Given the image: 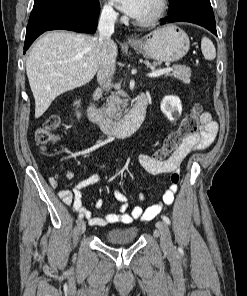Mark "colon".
Listing matches in <instances>:
<instances>
[{
    "mask_svg": "<svg viewBox=\"0 0 247 296\" xmlns=\"http://www.w3.org/2000/svg\"><path fill=\"white\" fill-rule=\"evenodd\" d=\"M201 113L202 107L200 104H196L192 107L190 112L182 119L178 128L170 132L165 137L161 147L156 150L154 153V159L156 161H164L171 153L178 150L187 137L196 133ZM59 126V120L53 117L48 119L44 126L36 132V141L42 149L58 141L59 136L56 131ZM172 181L178 184L179 175H173Z\"/></svg>",
    "mask_w": 247,
    "mask_h": 296,
    "instance_id": "5ec220e1",
    "label": "colon"
}]
</instances>
